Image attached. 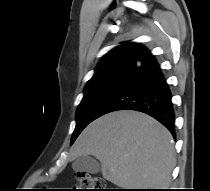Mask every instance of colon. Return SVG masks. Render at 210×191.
<instances>
[{
  "mask_svg": "<svg viewBox=\"0 0 210 191\" xmlns=\"http://www.w3.org/2000/svg\"><path fill=\"white\" fill-rule=\"evenodd\" d=\"M76 191H107L104 181L88 173H78Z\"/></svg>",
  "mask_w": 210,
  "mask_h": 191,
  "instance_id": "1",
  "label": "colon"
}]
</instances>
